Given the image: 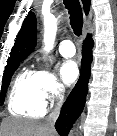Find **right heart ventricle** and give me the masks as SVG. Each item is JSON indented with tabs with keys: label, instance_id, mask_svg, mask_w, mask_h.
Segmentation results:
<instances>
[{
	"label": "right heart ventricle",
	"instance_id": "e07e8e85",
	"mask_svg": "<svg viewBox=\"0 0 117 136\" xmlns=\"http://www.w3.org/2000/svg\"><path fill=\"white\" fill-rule=\"evenodd\" d=\"M8 108L12 114L40 118L45 105L37 93L35 72L23 70L16 76L9 94Z\"/></svg>",
	"mask_w": 117,
	"mask_h": 136
}]
</instances>
